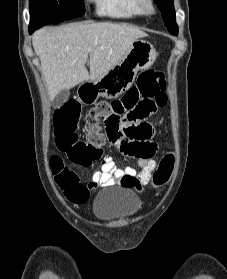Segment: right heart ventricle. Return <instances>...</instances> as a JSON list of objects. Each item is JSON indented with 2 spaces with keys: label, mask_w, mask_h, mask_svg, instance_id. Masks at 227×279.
Here are the masks:
<instances>
[{
  "label": "right heart ventricle",
  "mask_w": 227,
  "mask_h": 279,
  "mask_svg": "<svg viewBox=\"0 0 227 279\" xmlns=\"http://www.w3.org/2000/svg\"><path fill=\"white\" fill-rule=\"evenodd\" d=\"M98 14L116 19H138L141 16L138 0H95Z\"/></svg>",
  "instance_id": "e07e8e85"
}]
</instances>
